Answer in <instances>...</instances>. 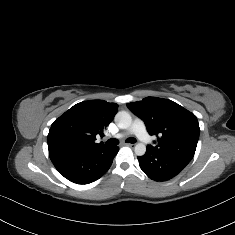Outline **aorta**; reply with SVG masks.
Here are the masks:
<instances>
[{
    "mask_svg": "<svg viewBox=\"0 0 235 235\" xmlns=\"http://www.w3.org/2000/svg\"><path fill=\"white\" fill-rule=\"evenodd\" d=\"M115 122L118 123L119 128L129 129L132 125V117L129 112L120 111L115 116ZM146 152V144L139 142L135 145V153L137 155H144Z\"/></svg>",
    "mask_w": 235,
    "mask_h": 235,
    "instance_id": "762f6f07",
    "label": "aorta"
}]
</instances>
